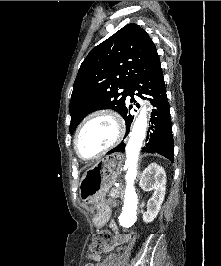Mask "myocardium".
<instances>
[{
    "mask_svg": "<svg viewBox=\"0 0 221 266\" xmlns=\"http://www.w3.org/2000/svg\"><path fill=\"white\" fill-rule=\"evenodd\" d=\"M97 116H108L110 117L115 125H116V129H117V133L116 136L114 138V140L105 148H103L102 150H100L98 153H96L95 155L92 156H84L80 149H79V137L80 134L82 132V130L84 129L85 125L92 120L93 118L97 117ZM125 134V124L123 119L121 118V116L116 113L113 110L110 109H101V110H97L94 111L93 113H91L89 116H87L84 121L81 123V125L79 126L76 135H75V139H74V148L76 151V154L83 160H94L96 158H99L100 156H102L103 154H105L107 151H109L110 149H112L113 147H115L124 137Z\"/></svg>",
    "mask_w": 221,
    "mask_h": 266,
    "instance_id": "1",
    "label": "myocardium"
}]
</instances>
